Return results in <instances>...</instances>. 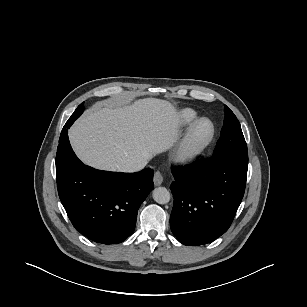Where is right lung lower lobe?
I'll return each instance as SVG.
<instances>
[{
	"label": "right lung lower lobe",
	"mask_w": 307,
	"mask_h": 307,
	"mask_svg": "<svg viewBox=\"0 0 307 307\" xmlns=\"http://www.w3.org/2000/svg\"><path fill=\"white\" fill-rule=\"evenodd\" d=\"M66 125L56 155L58 194L75 229L103 244L123 242L134 231L138 208L153 189V170L119 173L84 165L73 152Z\"/></svg>",
	"instance_id": "obj_1"
}]
</instances>
